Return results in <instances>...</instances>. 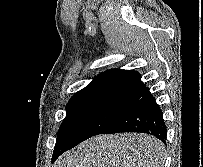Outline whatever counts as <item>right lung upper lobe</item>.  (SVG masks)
Instances as JSON below:
<instances>
[{
	"label": "right lung upper lobe",
	"instance_id": "obj_1",
	"mask_svg": "<svg viewBox=\"0 0 203 167\" xmlns=\"http://www.w3.org/2000/svg\"><path fill=\"white\" fill-rule=\"evenodd\" d=\"M140 78V74L133 70L105 71L88 86L75 93L69 102L102 100L131 107L141 98L151 95Z\"/></svg>",
	"mask_w": 203,
	"mask_h": 167
}]
</instances>
